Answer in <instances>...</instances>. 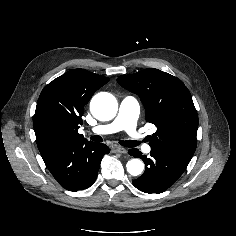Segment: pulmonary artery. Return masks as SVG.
<instances>
[{
  "label": "pulmonary artery",
  "instance_id": "1",
  "mask_svg": "<svg viewBox=\"0 0 236 236\" xmlns=\"http://www.w3.org/2000/svg\"><path fill=\"white\" fill-rule=\"evenodd\" d=\"M139 110L136 98L127 96L121 101L116 118L111 123L93 127L92 131L96 134H111L124 130L132 137L133 141L140 145L143 143V136L136 129ZM142 148L146 153L151 151L149 145L143 144Z\"/></svg>",
  "mask_w": 236,
  "mask_h": 236
}]
</instances>
